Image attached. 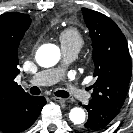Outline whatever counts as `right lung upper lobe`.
Masks as SVG:
<instances>
[{
  "mask_svg": "<svg viewBox=\"0 0 133 133\" xmlns=\"http://www.w3.org/2000/svg\"><path fill=\"white\" fill-rule=\"evenodd\" d=\"M30 23L28 14L0 15V117L17 99L28 95L14 79L20 72L17 49Z\"/></svg>",
  "mask_w": 133,
  "mask_h": 133,
  "instance_id": "1",
  "label": "right lung upper lobe"
}]
</instances>
